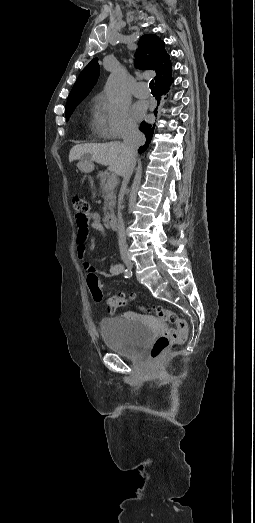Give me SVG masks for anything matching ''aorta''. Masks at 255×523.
<instances>
[{
	"label": "aorta",
	"instance_id": "aorta-1",
	"mask_svg": "<svg viewBox=\"0 0 255 523\" xmlns=\"http://www.w3.org/2000/svg\"><path fill=\"white\" fill-rule=\"evenodd\" d=\"M123 89V77L119 72H113L107 79L105 85V92L108 99L111 102H116L121 94Z\"/></svg>",
	"mask_w": 255,
	"mask_h": 523
}]
</instances>
